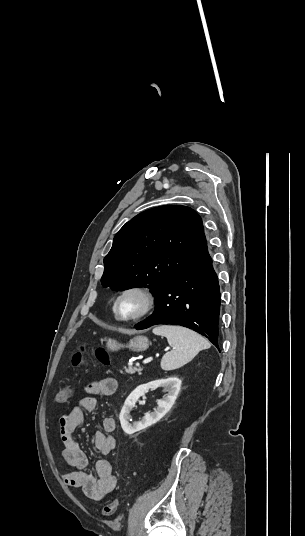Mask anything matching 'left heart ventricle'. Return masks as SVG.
<instances>
[{
  "label": "left heart ventricle",
  "mask_w": 305,
  "mask_h": 536,
  "mask_svg": "<svg viewBox=\"0 0 305 536\" xmlns=\"http://www.w3.org/2000/svg\"><path fill=\"white\" fill-rule=\"evenodd\" d=\"M145 308V298L139 292H129L118 302V312L121 317L130 318L141 313Z\"/></svg>",
  "instance_id": "obj_1"
}]
</instances>
